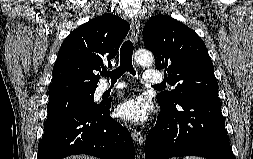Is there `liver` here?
<instances>
[{
    "label": "liver",
    "mask_w": 253,
    "mask_h": 159,
    "mask_svg": "<svg viewBox=\"0 0 253 159\" xmlns=\"http://www.w3.org/2000/svg\"><path fill=\"white\" fill-rule=\"evenodd\" d=\"M65 159H97V158L87 155H76V156H69Z\"/></svg>",
    "instance_id": "1"
}]
</instances>
